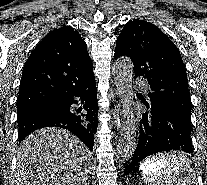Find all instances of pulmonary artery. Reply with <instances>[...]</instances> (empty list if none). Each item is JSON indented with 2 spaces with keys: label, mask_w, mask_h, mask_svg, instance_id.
<instances>
[{
  "label": "pulmonary artery",
  "mask_w": 207,
  "mask_h": 185,
  "mask_svg": "<svg viewBox=\"0 0 207 185\" xmlns=\"http://www.w3.org/2000/svg\"><path fill=\"white\" fill-rule=\"evenodd\" d=\"M134 85H135V86H140V85H141V82H140V81H135V82H134ZM142 90H143L145 93H148L149 88H148V87H143Z\"/></svg>",
  "instance_id": "e3ab8cb5"
}]
</instances>
